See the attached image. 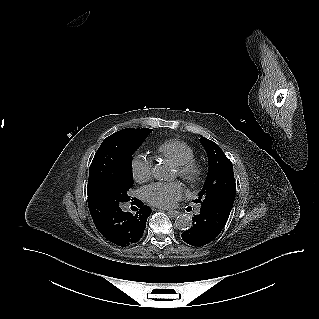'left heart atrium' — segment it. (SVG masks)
Here are the masks:
<instances>
[{
    "label": "left heart atrium",
    "mask_w": 319,
    "mask_h": 319,
    "mask_svg": "<svg viewBox=\"0 0 319 319\" xmlns=\"http://www.w3.org/2000/svg\"><path fill=\"white\" fill-rule=\"evenodd\" d=\"M182 194L179 182H156L143 189V195L150 204L163 208L171 207Z\"/></svg>",
    "instance_id": "obj_1"
}]
</instances>
